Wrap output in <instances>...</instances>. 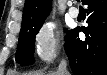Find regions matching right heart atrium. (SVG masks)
<instances>
[{"label":"right heart atrium","mask_w":107,"mask_h":75,"mask_svg":"<svg viewBox=\"0 0 107 75\" xmlns=\"http://www.w3.org/2000/svg\"><path fill=\"white\" fill-rule=\"evenodd\" d=\"M34 45L37 57L44 63H50L62 48L61 32L57 24L45 21L36 31Z\"/></svg>","instance_id":"d8ad5b80"}]
</instances>
